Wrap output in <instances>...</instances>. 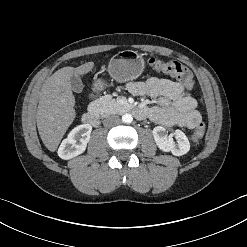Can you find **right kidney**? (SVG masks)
<instances>
[{"instance_id": "ca27d5eb", "label": "right kidney", "mask_w": 247, "mask_h": 247, "mask_svg": "<svg viewBox=\"0 0 247 247\" xmlns=\"http://www.w3.org/2000/svg\"><path fill=\"white\" fill-rule=\"evenodd\" d=\"M92 126L82 124L75 127L64 139L58 149V156L64 160H69L82 154L90 140Z\"/></svg>"}]
</instances>
